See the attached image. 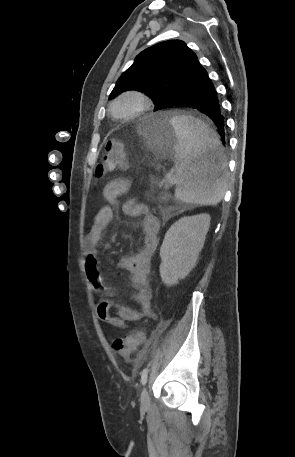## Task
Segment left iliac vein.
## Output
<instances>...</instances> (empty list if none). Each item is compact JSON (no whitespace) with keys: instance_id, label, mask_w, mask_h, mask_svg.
<instances>
[{"instance_id":"4c4485c4","label":"left iliac vein","mask_w":295,"mask_h":457,"mask_svg":"<svg viewBox=\"0 0 295 457\" xmlns=\"http://www.w3.org/2000/svg\"><path fill=\"white\" fill-rule=\"evenodd\" d=\"M149 403H150L149 394H148L147 388L144 387L142 389V392H141V395H140L141 407L142 408H147L149 406Z\"/></svg>"}]
</instances>
